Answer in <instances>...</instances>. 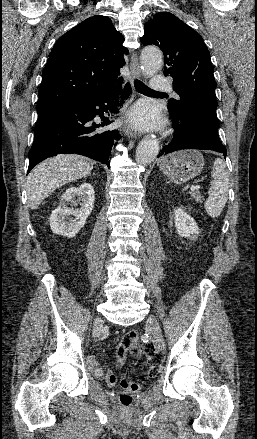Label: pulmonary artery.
I'll return each instance as SVG.
<instances>
[{"label": "pulmonary artery", "instance_id": "e3ab8cb5", "mask_svg": "<svg viewBox=\"0 0 257 439\" xmlns=\"http://www.w3.org/2000/svg\"><path fill=\"white\" fill-rule=\"evenodd\" d=\"M151 87L152 90L157 93L166 94L171 91V85L168 78L161 74H157L152 78Z\"/></svg>", "mask_w": 257, "mask_h": 439}]
</instances>
